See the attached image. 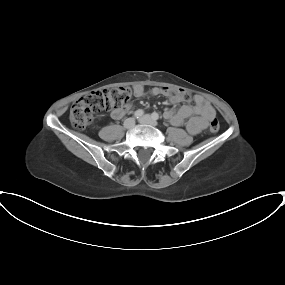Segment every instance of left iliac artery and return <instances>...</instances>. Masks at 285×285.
<instances>
[{"label": "left iliac artery", "instance_id": "1", "mask_svg": "<svg viewBox=\"0 0 285 285\" xmlns=\"http://www.w3.org/2000/svg\"><path fill=\"white\" fill-rule=\"evenodd\" d=\"M152 118L155 119V120H158L159 119V114L154 112L152 113Z\"/></svg>", "mask_w": 285, "mask_h": 285}]
</instances>
